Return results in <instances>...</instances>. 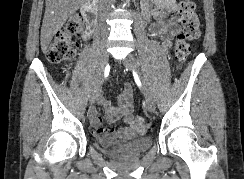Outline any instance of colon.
Wrapping results in <instances>:
<instances>
[{
	"mask_svg": "<svg viewBox=\"0 0 244 179\" xmlns=\"http://www.w3.org/2000/svg\"><path fill=\"white\" fill-rule=\"evenodd\" d=\"M178 16L182 25V32L175 43V64L180 67L185 64L191 51V42L199 36L200 19L195 4L191 0H182L178 7ZM82 29V22L77 18L69 19L58 31L46 53L49 62L55 65L65 64L75 58L78 47L75 37ZM133 126L136 132H144L147 127L143 119L135 117Z\"/></svg>",
	"mask_w": 244,
	"mask_h": 179,
	"instance_id": "1",
	"label": "colon"
}]
</instances>
